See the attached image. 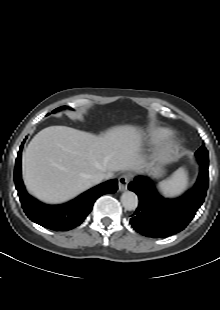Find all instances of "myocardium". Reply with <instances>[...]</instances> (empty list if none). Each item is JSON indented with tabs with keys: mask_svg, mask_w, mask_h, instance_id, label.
I'll use <instances>...</instances> for the list:
<instances>
[{
	"mask_svg": "<svg viewBox=\"0 0 220 310\" xmlns=\"http://www.w3.org/2000/svg\"><path fill=\"white\" fill-rule=\"evenodd\" d=\"M179 149V144L176 140H169L165 144L157 148L154 154V162L157 165H162L172 161Z\"/></svg>",
	"mask_w": 220,
	"mask_h": 310,
	"instance_id": "myocardium-1",
	"label": "myocardium"
}]
</instances>
